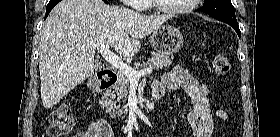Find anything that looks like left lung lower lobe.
Masks as SVG:
<instances>
[{"instance_id":"0a47b994","label":"left lung lower lobe","mask_w":280,"mask_h":137,"mask_svg":"<svg viewBox=\"0 0 280 137\" xmlns=\"http://www.w3.org/2000/svg\"><path fill=\"white\" fill-rule=\"evenodd\" d=\"M227 24H229L231 27H233V29L237 32L238 36L240 37L241 35V32L239 30V26H238V23L237 22H227V21H223Z\"/></svg>"}]
</instances>
